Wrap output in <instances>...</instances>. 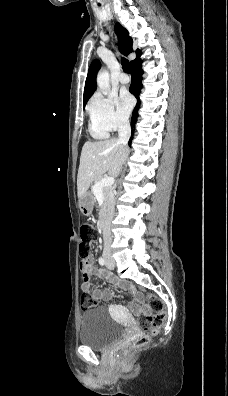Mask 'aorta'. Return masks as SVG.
Listing matches in <instances>:
<instances>
[{
  "label": "aorta",
  "mask_w": 228,
  "mask_h": 396,
  "mask_svg": "<svg viewBox=\"0 0 228 396\" xmlns=\"http://www.w3.org/2000/svg\"><path fill=\"white\" fill-rule=\"evenodd\" d=\"M97 85L104 92L107 93L110 89V77L106 70H101L97 75Z\"/></svg>",
  "instance_id": "1"
}]
</instances>
